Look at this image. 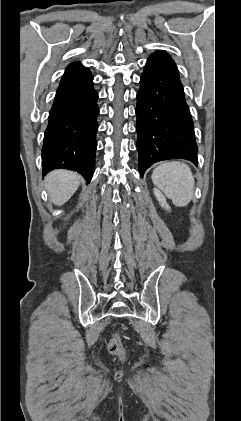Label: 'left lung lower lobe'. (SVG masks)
Returning a JSON list of instances; mask_svg holds the SVG:
<instances>
[{
  "instance_id": "obj_1",
  "label": "left lung lower lobe",
  "mask_w": 241,
  "mask_h": 421,
  "mask_svg": "<svg viewBox=\"0 0 241 421\" xmlns=\"http://www.w3.org/2000/svg\"><path fill=\"white\" fill-rule=\"evenodd\" d=\"M139 171L157 161L184 158L197 164L193 121L176 64L163 51L153 53L137 93Z\"/></svg>"
}]
</instances>
